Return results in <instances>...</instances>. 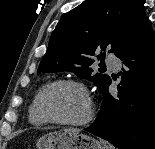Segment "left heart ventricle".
Wrapping results in <instances>:
<instances>
[{"mask_svg": "<svg viewBox=\"0 0 155 149\" xmlns=\"http://www.w3.org/2000/svg\"><path fill=\"white\" fill-rule=\"evenodd\" d=\"M44 102L53 117L66 121L82 119L87 110L83 93L72 85H56L50 88Z\"/></svg>", "mask_w": 155, "mask_h": 149, "instance_id": "left-heart-ventricle-1", "label": "left heart ventricle"}]
</instances>
